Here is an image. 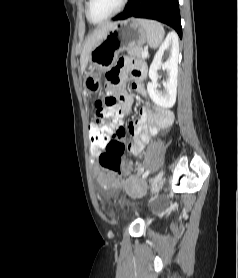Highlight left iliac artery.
Here are the masks:
<instances>
[{"label": "left iliac artery", "mask_w": 238, "mask_h": 278, "mask_svg": "<svg viewBox=\"0 0 238 278\" xmlns=\"http://www.w3.org/2000/svg\"><path fill=\"white\" fill-rule=\"evenodd\" d=\"M150 173V170H146L142 176V179H145Z\"/></svg>", "instance_id": "44dca946"}]
</instances>
